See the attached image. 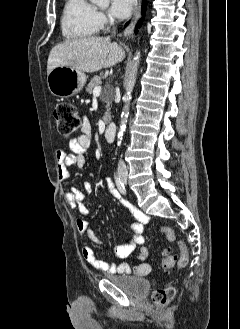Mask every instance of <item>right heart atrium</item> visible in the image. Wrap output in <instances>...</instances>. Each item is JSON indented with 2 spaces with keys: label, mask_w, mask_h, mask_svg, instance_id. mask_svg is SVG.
Segmentation results:
<instances>
[{
  "label": "right heart atrium",
  "mask_w": 240,
  "mask_h": 329,
  "mask_svg": "<svg viewBox=\"0 0 240 329\" xmlns=\"http://www.w3.org/2000/svg\"><path fill=\"white\" fill-rule=\"evenodd\" d=\"M97 22L99 29H104L113 22V19L106 12L100 10L97 11Z\"/></svg>",
  "instance_id": "1"
}]
</instances>
